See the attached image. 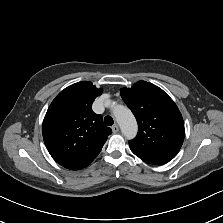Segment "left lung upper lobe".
I'll return each mask as SVG.
<instances>
[{"label": "left lung upper lobe", "instance_id": "left-lung-upper-lobe-1", "mask_svg": "<svg viewBox=\"0 0 223 223\" xmlns=\"http://www.w3.org/2000/svg\"><path fill=\"white\" fill-rule=\"evenodd\" d=\"M120 92L138 123L137 136L129 141L131 151L149 164L161 165L172 160L185 136L183 118L173 100L145 81Z\"/></svg>", "mask_w": 223, "mask_h": 223}]
</instances>
